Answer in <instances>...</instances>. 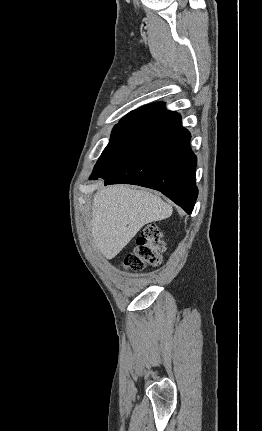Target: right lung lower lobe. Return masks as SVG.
<instances>
[{
  "label": "right lung lower lobe",
  "mask_w": 262,
  "mask_h": 431,
  "mask_svg": "<svg viewBox=\"0 0 262 431\" xmlns=\"http://www.w3.org/2000/svg\"><path fill=\"white\" fill-rule=\"evenodd\" d=\"M190 138L176 112L148 117L129 127L100 156L90 179L158 190L190 214L198 195Z\"/></svg>",
  "instance_id": "obj_1"
}]
</instances>
